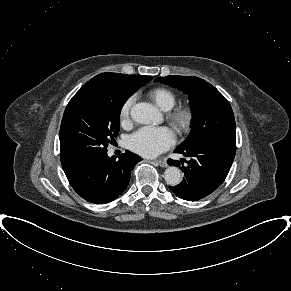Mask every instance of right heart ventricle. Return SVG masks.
Instances as JSON below:
<instances>
[{"label": "right heart ventricle", "mask_w": 291, "mask_h": 291, "mask_svg": "<svg viewBox=\"0 0 291 291\" xmlns=\"http://www.w3.org/2000/svg\"><path fill=\"white\" fill-rule=\"evenodd\" d=\"M148 96L163 111L171 110L177 102L176 94L165 87L150 90Z\"/></svg>", "instance_id": "obj_1"}]
</instances>
